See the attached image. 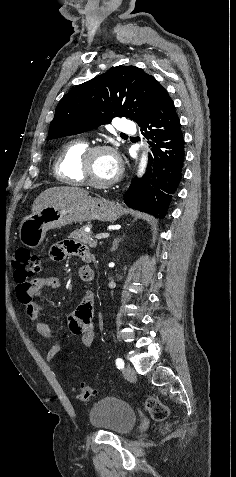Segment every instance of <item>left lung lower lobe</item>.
<instances>
[{"instance_id": "obj_1", "label": "left lung lower lobe", "mask_w": 236, "mask_h": 477, "mask_svg": "<svg viewBox=\"0 0 236 477\" xmlns=\"http://www.w3.org/2000/svg\"><path fill=\"white\" fill-rule=\"evenodd\" d=\"M151 139L153 157L149 155L146 175L135 179L124 196V202L143 212L163 218L182 176L184 138L174 104L166 89L159 90L152 110L139 125ZM153 163V168L151 164Z\"/></svg>"}]
</instances>
